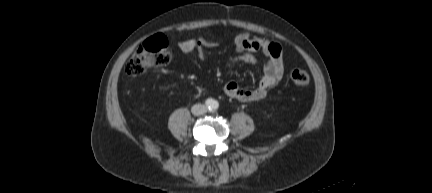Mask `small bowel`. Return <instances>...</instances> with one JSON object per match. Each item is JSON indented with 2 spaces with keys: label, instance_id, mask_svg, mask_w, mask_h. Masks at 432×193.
Listing matches in <instances>:
<instances>
[{
  "label": "small bowel",
  "instance_id": "1",
  "mask_svg": "<svg viewBox=\"0 0 432 193\" xmlns=\"http://www.w3.org/2000/svg\"><path fill=\"white\" fill-rule=\"evenodd\" d=\"M216 45L217 42L205 37L192 38L178 43V47L183 53H198L200 55H203V47ZM235 46L242 53L239 57L241 61L256 63V52H261L265 56L263 75L256 88L245 89L230 80L225 83L224 92L229 97L243 102H255L265 98L268 91L284 78L285 68L281 45L265 38H251L248 33H241L235 38Z\"/></svg>",
  "mask_w": 432,
  "mask_h": 193
}]
</instances>
